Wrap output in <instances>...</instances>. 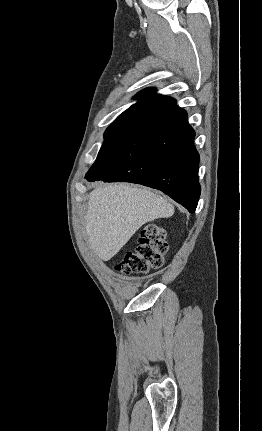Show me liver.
Masks as SVG:
<instances>
[{"mask_svg": "<svg viewBox=\"0 0 262 431\" xmlns=\"http://www.w3.org/2000/svg\"><path fill=\"white\" fill-rule=\"evenodd\" d=\"M173 214L174 206L148 189L122 183L95 188L85 216L87 242L101 260L108 261L142 225Z\"/></svg>", "mask_w": 262, "mask_h": 431, "instance_id": "liver-1", "label": "liver"}]
</instances>
